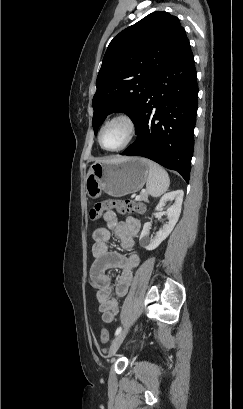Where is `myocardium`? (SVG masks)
<instances>
[{
	"instance_id": "obj_1",
	"label": "myocardium",
	"mask_w": 243,
	"mask_h": 409,
	"mask_svg": "<svg viewBox=\"0 0 243 409\" xmlns=\"http://www.w3.org/2000/svg\"><path fill=\"white\" fill-rule=\"evenodd\" d=\"M116 122H121V123H124L126 125L127 133H128L127 138L124 141V143L122 145H120L119 147L114 148V149H108L102 143V140H101L102 132L105 129V127H107L108 125H110L112 123H116ZM135 135H136L135 121L133 120V118L129 114H127L125 112H120V113H117V114L111 116L110 118L106 119L102 123V125L100 126L99 131H98L97 139H98L99 145L105 151L118 152V151H121L124 148H126L133 141Z\"/></svg>"
}]
</instances>
